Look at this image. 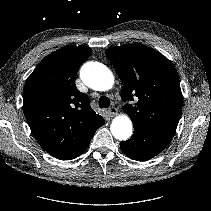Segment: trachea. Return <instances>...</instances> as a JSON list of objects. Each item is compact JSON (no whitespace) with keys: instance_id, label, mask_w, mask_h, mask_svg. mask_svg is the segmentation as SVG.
Here are the masks:
<instances>
[{"instance_id":"trachea-1","label":"trachea","mask_w":211,"mask_h":211,"mask_svg":"<svg viewBox=\"0 0 211 211\" xmlns=\"http://www.w3.org/2000/svg\"><path fill=\"white\" fill-rule=\"evenodd\" d=\"M110 99L106 96H101L99 98V107L100 108H108L110 106Z\"/></svg>"}]
</instances>
